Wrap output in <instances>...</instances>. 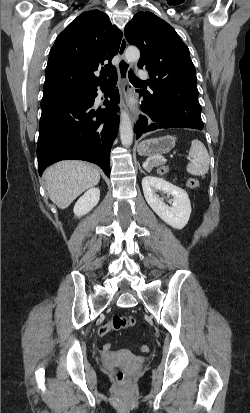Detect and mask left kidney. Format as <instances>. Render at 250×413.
<instances>
[{"label": "left kidney", "instance_id": "left-kidney-1", "mask_svg": "<svg viewBox=\"0 0 250 413\" xmlns=\"http://www.w3.org/2000/svg\"><path fill=\"white\" fill-rule=\"evenodd\" d=\"M142 188L147 203L164 222L175 229L186 226L191 214V204L185 190L153 176L142 179ZM158 191L173 197L170 206L157 195Z\"/></svg>", "mask_w": 250, "mask_h": 413}]
</instances>
